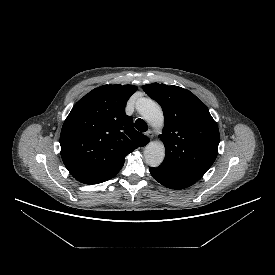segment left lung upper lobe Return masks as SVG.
<instances>
[{
    "label": "left lung upper lobe",
    "instance_id": "5c2ea615",
    "mask_svg": "<svg viewBox=\"0 0 275 275\" xmlns=\"http://www.w3.org/2000/svg\"><path fill=\"white\" fill-rule=\"evenodd\" d=\"M143 90L164 113L160 135L165 159L160 166L200 179L218 154L219 129L208 108L189 90L165 84H147Z\"/></svg>",
    "mask_w": 275,
    "mask_h": 275
}]
</instances>
